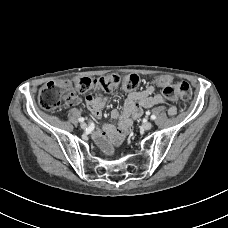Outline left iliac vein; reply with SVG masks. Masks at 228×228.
<instances>
[{
	"instance_id": "obj_1",
	"label": "left iliac vein",
	"mask_w": 228,
	"mask_h": 228,
	"mask_svg": "<svg viewBox=\"0 0 228 228\" xmlns=\"http://www.w3.org/2000/svg\"><path fill=\"white\" fill-rule=\"evenodd\" d=\"M152 123L151 122H145V123H143L142 124V128L144 129V130H150L151 128H152Z\"/></svg>"
}]
</instances>
